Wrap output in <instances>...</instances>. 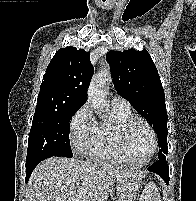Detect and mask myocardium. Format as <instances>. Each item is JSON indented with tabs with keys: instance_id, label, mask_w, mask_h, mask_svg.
Listing matches in <instances>:
<instances>
[{
	"instance_id": "myocardium-1",
	"label": "myocardium",
	"mask_w": 196,
	"mask_h": 201,
	"mask_svg": "<svg viewBox=\"0 0 196 201\" xmlns=\"http://www.w3.org/2000/svg\"><path fill=\"white\" fill-rule=\"evenodd\" d=\"M143 124L149 131L151 135V140H152V148L150 151V154L148 157L141 161V162H135L132 160L128 148V134L130 129L135 125V124ZM118 142L121 148V151L123 155L125 156L126 160L128 163L132 166L136 167H142L147 165L155 156L158 148V139H157V134L155 132V129L153 126L145 119L139 118V117H132L129 120L125 121L119 128V133H118Z\"/></svg>"
}]
</instances>
